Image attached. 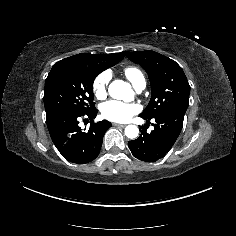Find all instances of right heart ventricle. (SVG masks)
Here are the masks:
<instances>
[{
	"instance_id": "right-heart-ventricle-1",
	"label": "right heart ventricle",
	"mask_w": 236,
	"mask_h": 236,
	"mask_svg": "<svg viewBox=\"0 0 236 236\" xmlns=\"http://www.w3.org/2000/svg\"><path fill=\"white\" fill-rule=\"evenodd\" d=\"M125 76L131 81V83L135 86L138 82L144 80V76L142 72L133 66L127 67L124 70Z\"/></svg>"
}]
</instances>
